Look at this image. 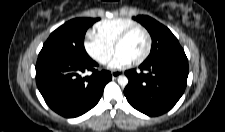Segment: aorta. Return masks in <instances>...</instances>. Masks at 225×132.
I'll return each mask as SVG.
<instances>
[{
	"mask_svg": "<svg viewBox=\"0 0 225 132\" xmlns=\"http://www.w3.org/2000/svg\"><path fill=\"white\" fill-rule=\"evenodd\" d=\"M118 83H119V85L124 87V86H126L128 84V78L126 76H124V75H120L118 77Z\"/></svg>",
	"mask_w": 225,
	"mask_h": 132,
	"instance_id": "obj_1",
	"label": "aorta"
}]
</instances>
